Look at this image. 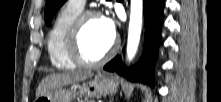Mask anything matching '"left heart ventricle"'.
<instances>
[{"instance_id":"b2bd125f","label":"left heart ventricle","mask_w":221,"mask_h":102,"mask_svg":"<svg viewBox=\"0 0 221 102\" xmlns=\"http://www.w3.org/2000/svg\"><path fill=\"white\" fill-rule=\"evenodd\" d=\"M113 39L104 32L100 18H92L85 24L81 33V50L89 60L101 58L112 45Z\"/></svg>"}]
</instances>
